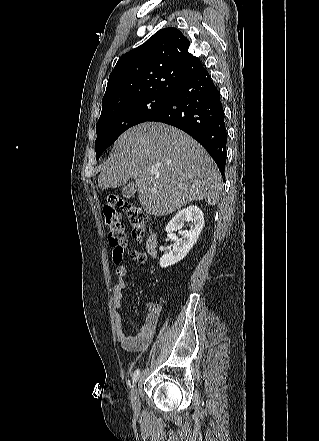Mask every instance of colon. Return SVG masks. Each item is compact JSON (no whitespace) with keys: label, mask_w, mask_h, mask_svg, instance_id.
Here are the masks:
<instances>
[{"label":"colon","mask_w":319,"mask_h":441,"mask_svg":"<svg viewBox=\"0 0 319 441\" xmlns=\"http://www.w3.org/2000/svg\"><path fill=\"white\" fill-rule=\"evenodd\" d=\"M118 209L126 213L134 239L141 241L147 229L145 213L132 201L116 193H111L106 197L102 208L103 219L108 231V242L113 249V260L116 264L121 262L127 243L126 232L120 221Z\"/></svg>","instance_id":"1"}]
</instances>
